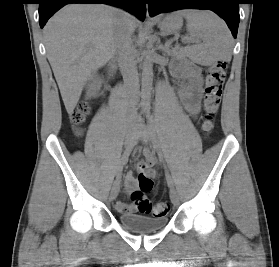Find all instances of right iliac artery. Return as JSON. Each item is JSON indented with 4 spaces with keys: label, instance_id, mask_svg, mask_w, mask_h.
Returning a JSON list of instances; mask_svg holds the SVG:
<instances>
[{
    "label": "right iliac artery",
    "instance_id": "right-iliac-artery-1",
    "mask_svg": "<svg viewBox=\"0 0 279 267\" xmlns=\"http://www.w3.org/2000/svg\"><path fill=\"white\" fill-rule=\"evenodd\" d=\"M135 144H136V141L132 140V142L126 146V149L124 150L123 155H122L120 162L116 169V180L120 179L123 167L128 162L130 153Z\"/></svg>",
    "mask_w": 279,
    "mask_h": 267
}]
</instances>
